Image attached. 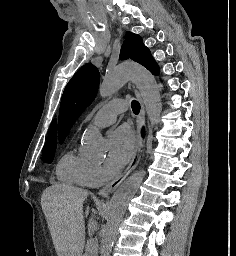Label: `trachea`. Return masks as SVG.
Returning <instances> with one entry per match:
<instances>
[{"label":"trachea","instance_id":"1","mask_svg":"<svg viewBox=\"0 0 236 256\" xmlns=\"http://www.w3.org/2000/svg\"><path fill=\"white\" fill-rule=\"evenodd\" d=\"M131 107H132V111L133 113H135V115H137L140 112V103L136 100H133L131 102Z\"/></svg>","mask_w":236,"mask_h":256}]
</instances>
